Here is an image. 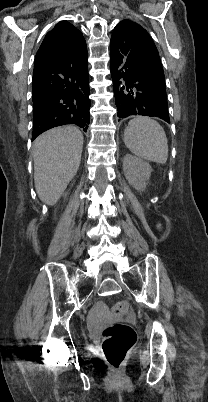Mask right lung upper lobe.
Masks as SVG:
<instances>
[{
	"instance_id": "obj_1",
	"label": "right lung upper lobe",
	"mask_w": 208,
	"mask_h": 402,
	"mask_svg": "<svg viewBox=\"0 0 208 402\" xmlns=\"http://www.w3.org/2000/svg\"><path fill=\"white\" fill-rule=\"evenodd\" d=\"M82 37V33L72 24L61 21L47 33L35 58L65 51Z\"/></svg>"
}]
</instances>
